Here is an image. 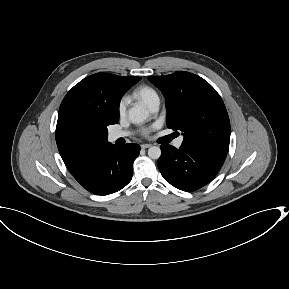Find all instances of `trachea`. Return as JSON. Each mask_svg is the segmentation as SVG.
Wrapping results in <instances>:
<instances>
[{"label": "trachea", "instance_id": "3493384b", "mask_svg": "<svg viewBox=\"0 0 289 289\" xmlns=\"http://www.w3.org/2000/svg\"><path fill=\"white\" fill-rule=\"evenodd\" d=\"M175 136L174 135H170L167 137V141H171Z\"/></svg>", "mask_w": 289, "mask_h": 289}]
</instances>
